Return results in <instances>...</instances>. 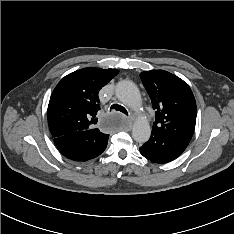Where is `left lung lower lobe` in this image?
<instances>
[{
	"label": "left lung lower lobe",
	"mask_w": 234,
	"mask_h": 234,
	"mask_svg": "<svg viewBox=\"0 0 234 234\" xmlns=\"http://www.w3.org/2000/svg\"><path fill=\"white\" fill-rule=\"evenodd\" d=\"M184 149L168 137L152 132L150 139L140 147V153L156 163H167L183 153Z\"/></svg>",
	"instance_id": "1"
}]
</instances>
